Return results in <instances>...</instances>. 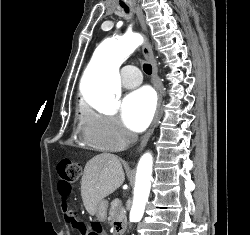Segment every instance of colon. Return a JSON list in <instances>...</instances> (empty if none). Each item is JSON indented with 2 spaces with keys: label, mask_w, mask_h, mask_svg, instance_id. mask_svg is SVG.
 Masks as SVG:
<instances>
[{
  "label": "colon",
  "mask_w": 250,
  "mask_h": 235,
  "mask_svg": "<svg viewBox=\"0 0 250 235\" xmlns=\"http://www.w3.org/2000/svg\"><path fill=\"white\" fill-rule=\"evenodd\" d=\"M80 165L72 160H62L57 165L59 175L58 191L60 198H67L71 194L72 185L77 181L80 175ZM64 217L76 231L82 232L86 227L80 222L72 211H65Z\"/></svg>",
  "instance_id": "5ec220e1"
}]
</instances>
